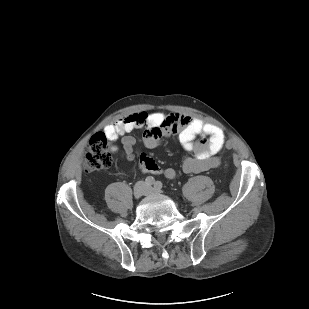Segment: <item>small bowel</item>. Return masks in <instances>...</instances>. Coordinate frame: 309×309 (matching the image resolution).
<instances>
[{"label":"small bowel","instance_id":"c3829d8e","mask_svg":"<svg viewBox=\"0 0 309 309\" xmlns=\"http://www.w3.org/2000/svg\"><path fill=\"white\" fill-rule=\"evenodd\" d=\"M137 129L145 130L143 143L147 148H155L163 138L177 135L183 148L193 153L182 162L181 167L185 173L207 171L220 164L218 154L223 149L225 135L223 130L214 124L180 113L140 111L107 125L104 134L112 142L121 137L124 156L132 161L136 140L129 133ZM197 137L200 139L196 140ZM111 149L113 152L118 150L116 145ZM140 168L145 173L163 174L169 179L176 176L174 168H162L147 156H141Z\"/></svg>","mask_w":309,"mask_h":309}]
</instances>
